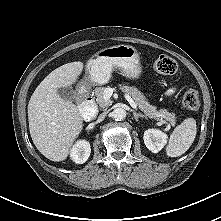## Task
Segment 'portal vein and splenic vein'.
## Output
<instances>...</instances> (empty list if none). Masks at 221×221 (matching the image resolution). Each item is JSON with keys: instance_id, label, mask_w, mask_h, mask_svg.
I'll use <instances>...</instances> for the list:
<instances>
[{"instance_id": "1", "label": "portal vein and splenic vein", "mask_w": 221, "mask_h": 221, "mask_svg": "<svg viewBox=\"0 0 221 221\" xmlns=\"http://www.w3.org/2000/svg\"><path fill=\"white\" fill-rule=\"evenodd\" d=\"M113 92H116L115 88H110V87L106 88L104 91V99L109 100L113 95ZM124 98L129 102L132 108L137 109V105L135 104L134 100L129 94L124 93ZM158 120H160L162 123H166V121L163 120L162 118H159Z\"/></svg>"}]
</instances>
